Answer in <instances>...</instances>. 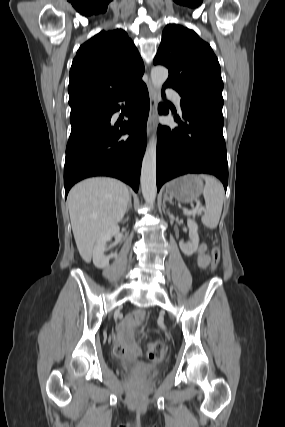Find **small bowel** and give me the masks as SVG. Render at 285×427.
Returning a JSON list of instances; mask_svg holds the SVG:
<instances>
[{
  "mask_svg": "<svg viewBox=\"0 0 285 427\" xmlns=\"http://www.w3.org/2000/svg\"><path fill=\"white\" fill-rule=\"evenodd\" d=\"M197 264L201 268H206L210 264V257L206 253V245L204 243H201L198 247ZM143 316L144 310L137 309L130 313L123 321L119 345L125 349L124 355L129 358H134L140 354V350L134 345V338L130 330L142 320Z\"/></svg>",
  "mask_w": 285,
  "mask_h": 427,
  "instance_id": "1",
  "label": "small bowel"
}]
</instances>
